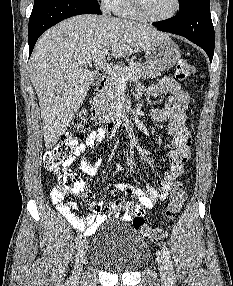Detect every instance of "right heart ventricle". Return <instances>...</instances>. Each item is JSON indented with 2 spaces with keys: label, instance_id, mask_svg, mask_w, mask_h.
<instances>
[{
  "label": "right heart ventricle",
  "instance_id": "right-heart-ventricle-1",
  "mask_svg": "<svg viewBox=\"0 0 233 286\" xmlns=\"http://www.w3.org/2000/svg\"><path fill=\"white\" fill-rule=\"evenodd\" d=\"M110 10L119 17L131 19L140 18L132 8L130 0H114Z\"/></svg>",
  "mask_w": 233,
  "mask_h": 286
}]
</instances>
